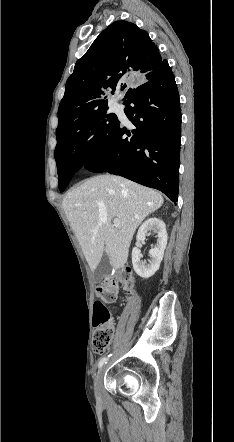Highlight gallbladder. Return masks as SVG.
<instances>
[{
	"label": "gallbladder",
	"mask_w": 234,
	"mask_h": 442,
	"mask_svg": "<svg viewBox=\"0 0 234 442\" xmlns=\"http://www.w3.org/2000/svg\"><path fill=\"white\" fill-rule=\"evenodd\" d=\"M111 272V264L106 254L103 255L100 263L95 270V278L97 282H101L104 277L108 276Z\"/></svg>",
	"instance_id": "obj_1"
}]
</instances>
